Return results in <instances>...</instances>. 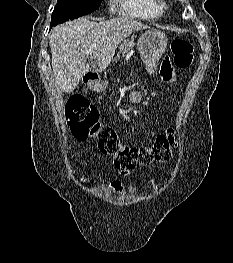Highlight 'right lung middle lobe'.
<instances>
[{
	"instance_id": "dd1d6c3e",
	"label": "right lung middle lobe",
	"mask_w": 233,
	"mask_h": 263,
	"mask_svg": "<svg viewBox=\"0 0 233 263\" xmlns=\"http://www.w3.org/2000/svg\"><path fill=\"white\" fill-rule=\"evenodd\" d=\"M103 0H57L51 23L60 24L95 11Z\"/></svg>"
}]
</instances>
